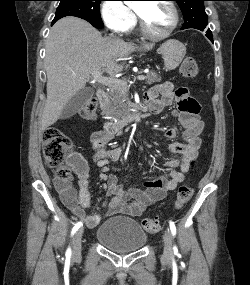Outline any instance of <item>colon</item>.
Masks as SVG:
<instances>
[{"instance_id":"5ec220e1","label":"colon","mask_w":250,"mask_h":285,"mask_svg":"<svg viewBox=\"0 0 250 285\" xmlns=\"http://www.w3.org/2000/svg\"><path fill=\"white\" fill-rule=\"evenodd\" d=\"M180 73L185 78H194L198 74V64L192 57H186L180 66ZM97 103L90 99L82 107L80 115L86 119L96 116ZM73 144L71 140L59 129L50 128L45 131L43 136V155L45 163L54 169L55 176L59 181H67L71 177L70 168L67 161L72 153ZM194 160L191 162L193 164ZM193 188L189 184L181 185L178 188L175 200L177 209L182 208L192 197ZM142 227L149 233H156L160 229L156 219L144 218Z\"/></svg>"}]
</instances>
